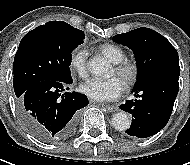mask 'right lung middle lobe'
I'll return each instance as SVG.
<instances>
[{"mask_svg": "<svg viewBox=\"0 0 190 165\" xmlns=\"http://www.w3.org/2000/svg\"><path fill=\"white\" fill-rule=\"evenodd\" d=\"M84 33L62 21H50L28 32L14 58L13 86L19 98L33 84L70 80L72 51Z\"/></svg>", "mask_w": 190, "mask_h": 165, "instance_id": "obj_1", "label": "right lung middle lobe"}]
</instances>
